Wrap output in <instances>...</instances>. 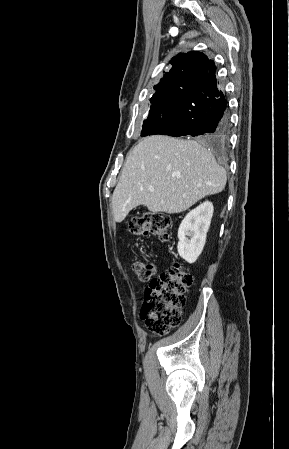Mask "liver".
Segmentation results:
<instances>
[{"mask_svg":"<svg viewBox=\"0 0 289 449\" xmlns=\"http://www.w3.org/2000/svg\"><path fill=\"white\" fill-rule=\"evenodd\" d=\"M226 181L225 169L197 141L146 137L127 156L113 192L114 220L122 222L139 205L154 213L183 212L205 196L222 192Z\"/></svg>","mask_w":289,"mask_h":449,"instance_id":"6515ba94","label":"liver"}]
</instances>
